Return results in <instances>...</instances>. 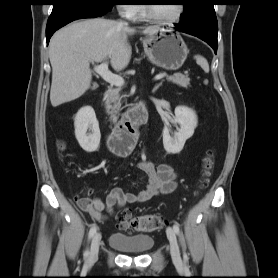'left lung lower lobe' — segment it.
<instances>
[{"label": "left lung lower lobe", "instance_id": "obj_1", "mask_svg": "<svg viewBox=\"0 0 278 278\" xmlns=\"http://www.w3.org/2000/svg\"><path fill=\"white\" fill-rule=\"evenodd\" d=\"M175 29L193 36H196L207 42L216 53L218 26L210 22L205 16H198L190 21L175 25Z\"/></svg>", "mask_w": 278, "mask_h": 278}]
</instances>
